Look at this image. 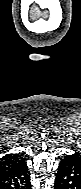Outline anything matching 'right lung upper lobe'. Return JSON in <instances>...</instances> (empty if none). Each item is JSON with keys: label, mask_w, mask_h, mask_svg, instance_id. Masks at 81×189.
I'll use <instances>...</instances> for the list:
<instances>
[{"label": "right lung upper lobe", "mask_w": 81, "mask_h": 189, "mask_svg": "<svg viewBox=\"0 0 81 189\" xmlns=\"http://www.w3.org/2000/svg\"><path fill=\"white\" fill-rule=\"evenodd\" d=\"M23 160L24 159L19 157L18 154H8L4 156L0 159V172L20 163Z\"/></svg>", "instance_id": "right-lung-upper-lobe-1"}]
</instances>
